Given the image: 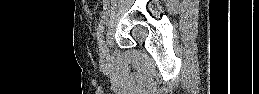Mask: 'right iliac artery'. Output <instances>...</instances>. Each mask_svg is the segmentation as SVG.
Instances as JSON below:
<instances>
[{
  "mask_svg": "<svg viewBox=\"0 0 259 94\" xmlns=\"http://www.w3.org/2000/svg\"><path fill=\"white\" fill-rule=\"evenodd\" d=\"M102 18H104V16ZM103 25H104V20L102 19L100 21L99 25H98V28H97V40H98L99 43H100L101 36H102L103 30H104V26Z\"/></svg>",
  "mask_w": 259,
  "mask_h": 94,
  "instance_id": "1",
  "label": "right iliac artery"
}]
</instances>
